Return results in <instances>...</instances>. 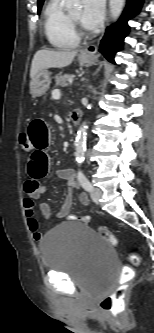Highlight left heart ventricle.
<instances>
[{"instance_id":"left-heart-ventricle-1","label":"left heart ventricle","mask_w":154,"mask_h":333,"mask_svg":"<svg viewBox=\"0 0 154 333\" xmlns=\"http://www.w3.org/2000/svg\"><path fill=\"white\" fill-rule=\"evenodd\" d=\"M81 9L80 8H77L73 11H71L69 14L71 15V17L73 19H75L76 21H78L79 23L81 22Z\"/></svg>"}]
</instances>
